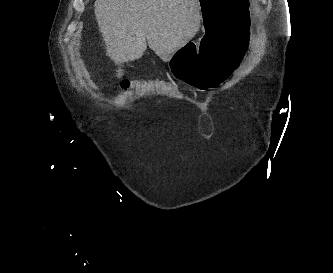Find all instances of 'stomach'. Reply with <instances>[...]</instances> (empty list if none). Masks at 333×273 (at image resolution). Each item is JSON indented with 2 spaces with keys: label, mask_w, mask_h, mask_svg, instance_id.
Segmentation results:
<instances>
[{
  "label": "stomach",
  "mask_w": 333,
  "mask_h": 273,
  "mask_svg": "<svg viewBox=\"0 0 333 273\" xmlns=\"http://www.w3.org/2000/svg\"><path fill=\"white\" fill-rule=\"evenodd\" d=\"M203 39L188 41L171 53L169 66L174 77L198 91L232 81L238 65L249 51L250 23L253 22L251 0H196Z\"/></svg>",
  "instance_id": "obj_1"
}]
</instances>
